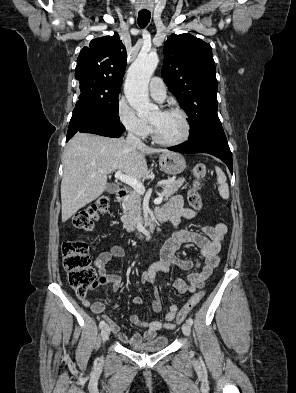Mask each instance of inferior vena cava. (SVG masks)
<instances>
[{
  "instance_id": "602c4592",
  "label": "inferior vena cava",
  "mask_w": 296,
  "mask_h": 393,
  "mask_svg": "<svg viewBox=\"0 0 296 393\" xmlns=\"http://www.w3.org/2000/svg\"><path fill=\"white\" fill-rule=\"evenodd\" d=\"M127 143L131 146H144V143L137 138L132 132L128 133L127 139H126Z\"/></svg>"
}]
</instances>
